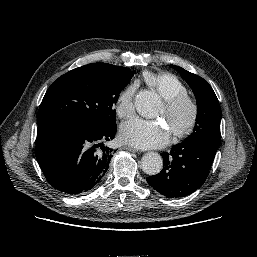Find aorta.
I'll list each match as a JSON object with an SVG mask.
<instances>
[{"label": "aorta", "instance_id": "aorta-1", "mask_svg": "<svg viewBox=\"0 0 257 257\" xmlns=\"http://www.w3.org/2000/svg\"><path fill=\"white\" fill-rule=\"evenodd\" d=\"M135 108L143 117H149L160 103L157 93L149 90L140 91L135 97ZM163 167L162 157L156 152H149L141 159L142 170L149 175L158 174Z\"/></svg>", "mask_w": 257, "mask_h": 257}]
</instances>
